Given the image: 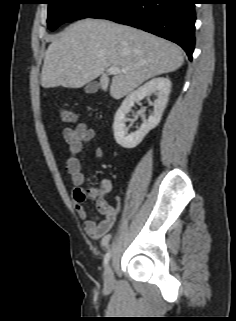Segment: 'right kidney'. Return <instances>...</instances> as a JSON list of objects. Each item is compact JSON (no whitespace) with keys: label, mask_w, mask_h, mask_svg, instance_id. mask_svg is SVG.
Wrapping results in <instances>:
<instances>
[{"label":"right kidney","mask_w":236,"mask_h":321,"mask_svg":"<svg viewBox=\"0 0 236 321\" xmlns=\"http://www.w3.org/2000/svg\"><path fill=\"white\" fill-rule=\"evenodd\" d=\"M170 89L171 81L168 78L157 77L146 82L123 100L115 114L113 123L114 138L120 146L128 149L136 147L148 132L159 124L168 102ZM153 93L157 95V99L153 104V112L148 118L141 114L140 116L143 119L141 126L136 131L127 134L126 115L131 111L135 103H139Z\"/></svg>","instance_id":"obj_1"}]
</instances>
